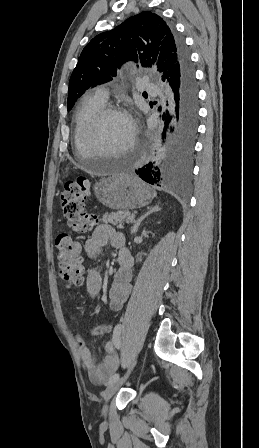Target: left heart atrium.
Wrapping results in <instances>:
<instances>
[{"label": "left heart atrium", "mask_w": 259, "mask_h": 448, "mask_svg": "<svg viewBox=\"0 0 259 448\" xmlns=\"http://www.w3.org/2000/svg\"><path fill=\"white\" fill-rule=\"evenodd\" d=\"M126 120L129 123L131 129L134 131V122H133L132 118L130 117V115H126Z\"/></svg>", "instance_id": "left-heart-atrium-1"}]
</instances>
